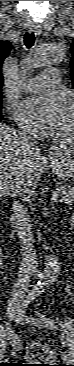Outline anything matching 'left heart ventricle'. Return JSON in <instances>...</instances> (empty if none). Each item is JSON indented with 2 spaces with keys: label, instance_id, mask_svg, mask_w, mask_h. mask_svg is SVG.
Returning a JSON list of instances; mask_svg holds the SVG:
<instances>
[{
  "label": "left heart ventricle",
  "instance_id": "left-heart-ventricle-1",
  "mask_svg": "<svg viewBox=\"0 0 74 366\" xmlns=\"http://www.w3.org/2000/svg\"><path fill=\"white\" fill-rule=\"evenodd\" d=\"M71 107L69 103L66 101L64 103V110L62 117L55 128L54 132L59 133L62 136H66L68 132L71 130L72 122H71Z\"/></svg>",
  "mask_w": 74,
  "mask_h": 366
}]
</instances>
